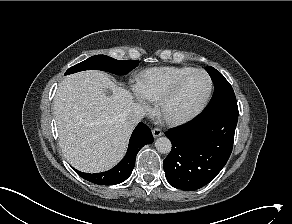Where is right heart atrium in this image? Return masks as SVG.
<instances>
[{
	"label": "right heart atrium",
	"instance_id": "obj_1",
	"mask_svg": "<svg viewBox=\"0 0 292 224\" xmlns=\"http://www.w3.org/2000/svg\"><path fill=\"white\" fill-rule=\"evenodd\" d=\"M134 96H135V99H136L139 103H141L142 105H146V101H145L144 97H143L139 92H136V93L134 94Z\"/></svg>",
	"mask_w": 292,
	"mask_h": 224
}]
</instances>
